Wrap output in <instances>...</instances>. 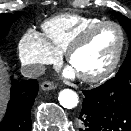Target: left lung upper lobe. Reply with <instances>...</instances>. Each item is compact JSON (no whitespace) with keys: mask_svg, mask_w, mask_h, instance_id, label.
Returning a JSON list of instances; mask_svg holds the SVG:
<instances>
[{"mask_svg":"<svg viewBox=\"0 0 131 131\" xmlns=\"http://www.w3.org/2000/svg\"><path fill=\"white\" fill-rule=\"evenodd\" d=\"M114 15L117 17L119 20L120 24L123 26V28L126 30L129 42H130V47L128 49V54L126 56V59L122 66L120 67L118 73L116 75L124 74L127 72H131V20L125 16H123L120 13L114 12Z\"/></svg>","mask_w":131,"mask_h":131,"instance_id":"5c2ea615","label":"left lung upper lobe"}]
</instances>
